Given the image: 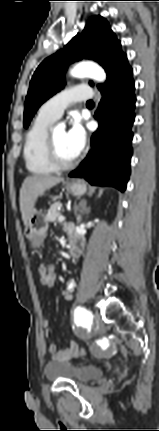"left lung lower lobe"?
Listing matches in <instances>:
<instances>
[{"mask_svg":"<svg viewBox=\"0 0 159 431\" xmlns=\"http://www.w3.org/2000/svg\"><path fill=\"white\" fill-rule=\"evenodd\" d=\"M135 82L131 66H124L101 89L102 100L95 118L98 130L92 151L70 177L85 178L92 185L113 186L124 192L130 175L131 131L135 115Z\"/></svg>","mask_w":159,"mask_h":431,"instance_id":"left-lung-lower-lobe-1","label":"left lung lower lobe"}]
</instances>
